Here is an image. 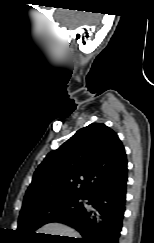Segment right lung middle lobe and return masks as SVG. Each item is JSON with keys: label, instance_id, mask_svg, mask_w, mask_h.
<instances>
[{"label": "right lung middle lobe", "instance_id": "1", "mask_svg": "<svg viewBox=\"0 0 154 243\" xmlns=\"http://www.w3.org/2000/svg\"><path fill=\"white\" fill-rule=\"evenodd\" d=\"M84 196L63 195L23 206L19 215L17 231L30 237L42 225L54 222L58 217L83 207Z\"/></svg>", "mask_w": 154, "mask_h": 243}]
</instances>
